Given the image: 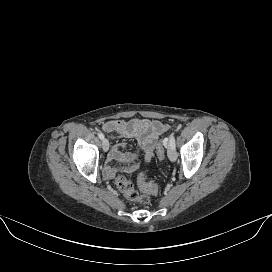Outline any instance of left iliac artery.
Returning <instances> with one entry per match:
<instances>
[{
  "mask_svg": "<svg viewBox=\"0 0 272 272\" xmlns=\"http://www.w3.org/2000/svg\"><path fill=\"white\" fill-rule=\"evenodd\" d=\"M169 143H170V146L175 149V137L173 134H171V136H170Z\"/></svg>",
  "mask_w": 272,
  "mask_h": 272,
  "instance_id": "left-iliac-artery-1",
  "label": "left iliac artery"
}]
</instances>
